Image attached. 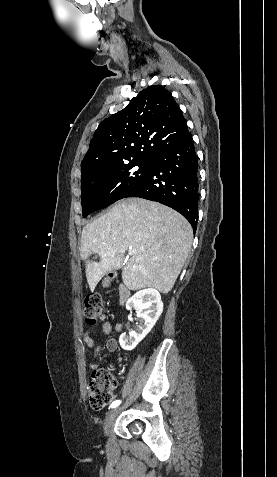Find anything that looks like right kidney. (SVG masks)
I'll list each match as a JSON object with an SVG mask.
<instances>
[{
    "label": "right kidney",
    "instance_id": "1",
    "mask_svg": "<svg viewBox=\"0 0 277 477\" xmlns=\"http://www.w3.org/2000/svg\"><path fill=\"white\" fill-rule=\"evenodd\" d=\"M126 309H135L137 318L143 322L137 331L122 333L120 346L127 351L133 350L151 331L163 311L160 293L153 288L143 289L135 293L126 303Z\"/></svg>",
    "mask_w": 277,
    "mask_h": 477
}]
</instances>
